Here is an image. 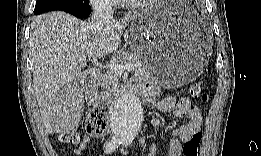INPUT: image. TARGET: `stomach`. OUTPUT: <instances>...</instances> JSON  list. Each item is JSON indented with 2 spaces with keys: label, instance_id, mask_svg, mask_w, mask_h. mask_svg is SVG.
Returning <instances> with one entry per match:
<instances>
[{
  "label": "stomach",
  "instance_id": "0dacf381",
  "mask_svg": "<svg viewBox=\"0 0 261 156\" xmlns=\"http://www.w3.org/2000/svg\"><path fill=\"white\" fill-rule=\"evenodd\" d=\"M191 2H158L140 12L130 26V43L161 84L193 81L207 65L211 37L186 17Z\"/></svg>",
  "mask_w": 261,
  "mask_h": 156
}]
</instances>
